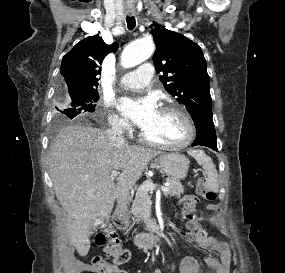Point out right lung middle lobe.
I'll return each mask as SVG.
<instances>
[{
	"label": "right lung middle lobe",
	"instance_id": "right-lung-middle-lobe-1",
	"mask_svg": "<svg viewBox=\"0 0 285 273\" xmlns=\"http://www.w3.org/2000/svg\"><path fill=\"white\" fill-rule=\"evenodd\" d=\"M57 97L59 104L57 108L59 112L56 115L57 123L73 119L84 112H93L95 103L99 100L97 90L67 93L65 88V90L58 91Z\"/></svg>",
	"mask_w": 285,
	"mask_h": 273
}]
</instances>
